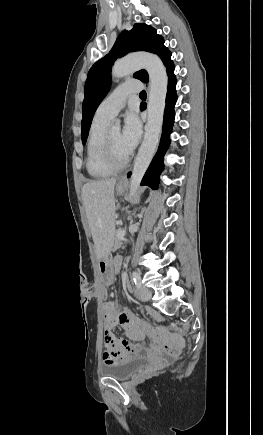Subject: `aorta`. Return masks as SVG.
Listing matches in <instances>:
<instances>
[{
	"label": "aorta",
	"mask_w": 263,
	"mask_h": 435,
	"mask_svg": "<svg viewBox=\"0 0 263 435\" xmlns=\"http://www.w3.org/2000/svg\"><path fill=\"white\" fill-rule=\"evenodd\" d=\"M140 68L146 69L149 74L150 93L144 138L135 158L131 175L129 193L131 203L137 201L141 180L157 149L162 130L168 81L165 67L160 58L149 53L129 55L117 61L112 68V77L122 78ZM112 129L118 131L120 129L119 122L115 123Z\"/></svg>",
	"instance_id": "762f6f07"
}]
</instances>
